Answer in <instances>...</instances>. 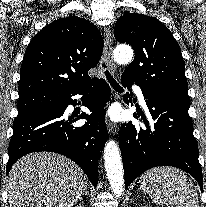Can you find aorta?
Returning a JSON list of instances; mask_svg holds the SVG:
<instances>
[{
	"instance_id": "762f6f07",
	"label": "aorta",
	"mask_w": 206,
	"mask_h": 207,
	"mask_svg": "<svg viewBox=\"0 0 206 207\" xmlns=\"http://www.w3.org/2000/svg\"><path fill=\"white\" fill-rule=\"evenodd\" d=\"M114 60L119 64L131 62L133 50L122 45L115 48ZM105 169L113 193L120 197L124 191V172L119 148L114 140H109L104 148Z\"/></svg>"
}]
</instances>
